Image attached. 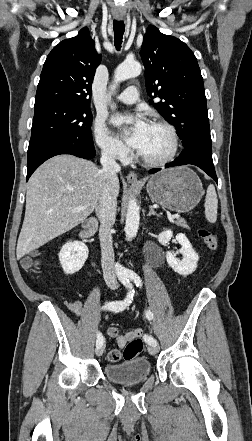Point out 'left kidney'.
<instances>
[{
	"label": "left kidney",
	"instance_id": "5707ae66",
	"mask_svg": "<svg viewBox=\"0 0 252 441\" xmlns=\"http://www.w3.org/2000/svg\"><path fill=\"white\" fill-rule=\"evenodd\" d=\"M172 236L173 232L171 230H165L159 234L158 241L159 243L165 245L171 240ZM176 240L182 246L180 253L183 255V259L179 260L176 258V254L174 252L167 251V263L178 274L189 275L196 270L199 257L192 248V245L185 234H177Z\"/></svg>",
	"mask_w": 252,
	"mask_h": 441
}]
</instances>
